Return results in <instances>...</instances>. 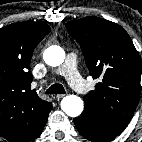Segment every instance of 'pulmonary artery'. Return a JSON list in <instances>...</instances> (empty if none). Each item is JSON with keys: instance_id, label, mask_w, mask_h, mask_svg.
<instances>
[{"instance_id": "1", "label": "pulmonary artery", "mask_w": 142, "mask_h": 142, "mask_svg": "<svg viewBox=\"0 0 142 142\" xmlns=\"http://www.w3.org/2000/svg\"><path fill=\"white\" fill-rule=\"evenodd\" d=\"M57 74L64 76L69 84L78 92L85 93L89 87L77 70V56L71 52L64 63L57 69Z\"/></svg>"}]
</instances>
